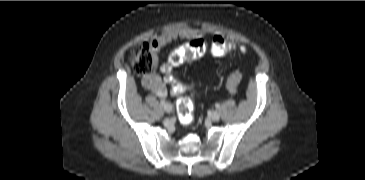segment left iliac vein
Segmentation results:
<instances>
[{
	"mask_svg": "<svg viewBox=\"0 0 365 180\" xmlns=\"http://www.w3.org/2000/svg\"><path fill=\"white\" fill-rule=\"evenodd\" d=\"M210 118L212 121H218L220 119V113L218 111H212Z\"/></svg>",
	"mask_w": 365,
	"mask_h": 180,
	"instance_id": "1",
	"label": "left iliac vein"
}]
</instances>
